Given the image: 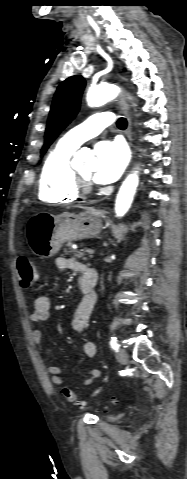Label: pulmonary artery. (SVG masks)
<instances>
[{
	"mask_svg": "<svg viewBox=\"0 0 187 479\" xmlns=\"http://www.w3.org/2000/svg\"><path fill=\"white\" fill-rule=\"evenodd\" d=\"M114 115L111 112H100L90 116L82 124L65 133L60 141L72 148L79 147L83 142L98 135L105 127L112 124Z\"/></svg>",
	"mask_w": 187,
	"mask_h": 479,
	"instance_id": "pulmonary-artery-1",
	"label": "pulmonary artery"
}]
</instances>
